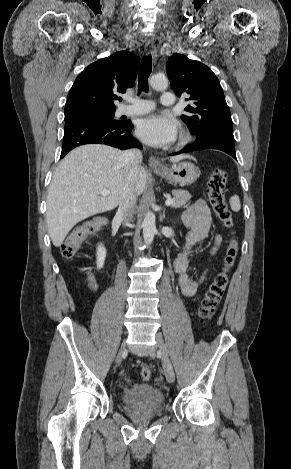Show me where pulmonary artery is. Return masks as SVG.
<instances>
[{
  "label": "pulmonary artery",
  "instance_id": "pulmonary-artery-1",
  "mask_svg": "<svg viewBox=\"0 0 291 469\" xmlns=\"http://www.w3.org/2000/svg\"><path fill=\"white\" fill-rule=\"evenodd\" d=\"M162 106L171 107L175 104L174 94L171 92H163L160 98ZM154 108L153 102L145 99H131V105L123 106L119 110L122 115H142L150 112Z\"/></svg>",
  "mask_w": 291,
  "mask_h": 469
}]
</instances>
